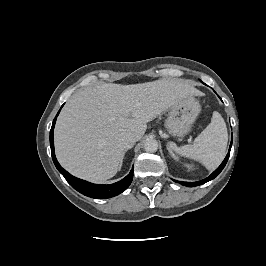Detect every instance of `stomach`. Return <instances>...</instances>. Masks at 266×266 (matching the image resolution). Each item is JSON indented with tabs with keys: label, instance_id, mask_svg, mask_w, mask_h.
<instances>
[{
	"label": "stomach",
	"instance_id": "obj_1",
	"mask_svg": "<svg viewBox=\"0 0 266 266\" xmlns=\"http://www.w3.org/2000/svg\"><path fill=\"white\" fill-rule=\"evenodd\" d=\"M201 111L198 100L190 96L172 106L165 121V128L172 136H184L190 132Z\"/></svg>",
	"mask_w": 266,
	"mask_h": 266
}]
</instances>
